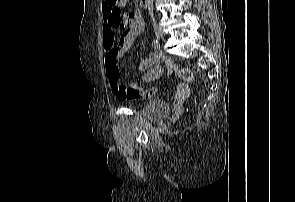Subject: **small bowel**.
<instances>
[{"label": "small bowel", "mask_w": 295, "mask_h": 202, "mask_svg": "<svg viewBox=\"0 0 295 202\" xmlns=\"http://www.w3.org/2000/svg\"><path fill=\"white\" fill-rule=\"evenodd\" d=\"M103 13V47H104V64L108 77V81L113 94L118 99H149L156 95L158 92L157 86L150 88H143L136 83H129L127 85H121V77H119L118 61L129 50L133 44L135 38L143 31L144 21L142 19L139 10H132L126 13L129 17L128 29H126L116 41L115 32L119 25V18L106 11L104 3ZM164 60V55L159 50L150 52L146 58L141 62L143 67L154 66L145 76L146 80H152L157 78L162 73L160 63ZM168 65L171 68V62L168 61ZM188 89L187 81H178V86L175 93V102H172V107H182V103H185L187 98Z\"/></svg>", "instance_id": "1"}]
</instances>
